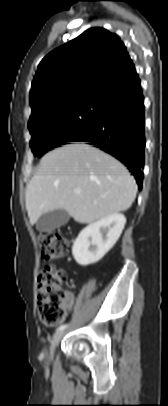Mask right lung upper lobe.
I'll return each instance as SVG.
<instances>
[{
    "instance_id": "right-lung-upper-lobe-1",
    "label": "right lung upper lobe",
    "mask_w": 168,
    "mask_h": 406,
    "mask_svg": "<svg viewBox=\"0 0 168 406\" xmlns=\"http://www.w3.org/2000/svg\"><path fill=\"white\" fill-rule=\"evenodd\" d=\"M138 79L120 38L91 28L46 55L30 91L29 124L64 108L107 94Z\"/></svg>"
}]
</instances>
